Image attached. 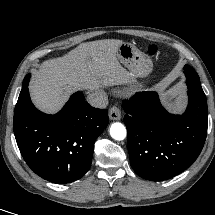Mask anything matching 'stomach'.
<instances>
[{"mask_svg":"<svg viewBox=\"0 0 215 215\" xmlns=\"http://www.w3.org/2000/svg\"><path fill=\"white\" fill-rule=\"evenodd\" d=\"M117 58L135 78L148 76L153 68L152 60L131 43H122Z\"/></svg>","mask_w":215,"mask_h":215,"instance_id":"1","label":"stomach"}]
</instances>
